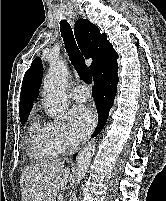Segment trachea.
<instances>
[{"label":"trachea","mask_w":166,"mask_h":201,"mask_svg":"<svg viewBox=\"0 0 166 201\" xmlns=\"http://www.w3.org/2000/svg\"><path fill=\"white\" fill-rule=\"evenodd\" d=\"M60 32L63 37L66 51L80 78L86 83H92V75L85 65V60L80 52L70 24L66 20L60 21Z\"/></svg>","instance_id":"3493384b"}]
</instances>
